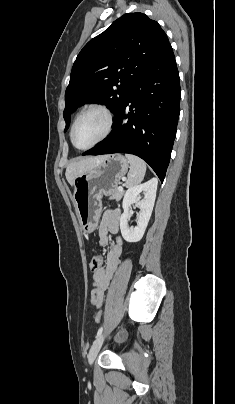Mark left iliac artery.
Listing matches in <instances>:
<instances>
[{"label": "left iliac artery", "instance_id": "obj_1", "mask_svg": "<svg viewBox=\"0 0 235 404\" xmlns=\"http://www.w3.org/2000/svg\"><path fill=\"white\" fill-rule=\"evenodd\" d=\"M103 326H101L97 332L96 338L102 334Z\"/></svg>", "mask_w": 235, "mask_h": 404}]
</instances>
